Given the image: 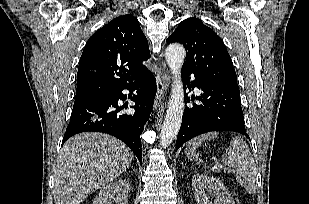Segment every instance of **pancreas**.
I'll return each instance as SVG.
<instances>
[{
  "mask_svg": "<svg viewBox=\"0 0 309 204\" xmlns=\"http://www.w3.org/2000/svg\"><path fill=\"white\" fill-rule=\"evenodd\" d=\"M212 170L215 171V172H218V171H219L217 168H213Z\"/></svg>",
  "mask_w": 309,
  "mask_h": 204,
  "instance_id": "pancreas-1",
  "label": "pancreas"
}]
</instances>
